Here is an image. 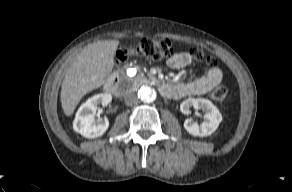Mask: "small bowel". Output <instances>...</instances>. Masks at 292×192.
Listing matches in <instances>:
<instances>
[{
    "instance_id": "small-bowel-1",
    "label": "small bowel",
    "mask_w": 292,
    "mask_h": 192,
    "mask_svg": "<svg viewBox=\"0 0 292 192\" xmlns=\"http://www.w3.org/2000/svg\"><path fill=\"white\" fill-rule=\"evenodd\" d=\"M192 63V58L188 52H181L172 55L167 64L173 69H181ZM222 81V72L219 68H210L207 72L192 81L181 82L175 86L169 85L166 97L182 98L191 95H201L212 89L217 83Z\"/></svg>"
}]
</instances>
